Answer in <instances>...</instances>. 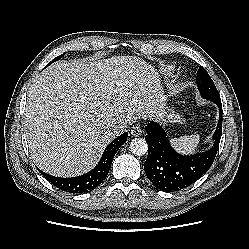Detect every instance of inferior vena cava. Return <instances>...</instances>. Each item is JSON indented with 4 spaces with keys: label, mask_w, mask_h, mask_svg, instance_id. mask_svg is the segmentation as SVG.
I'll use <instances>...</instances> for the list:
<instances>
[{
    "label": "inferior vena cava",
    "mask_w": 249,
    "mask_h": 249,
    "mask_svg": "<svg viewBox=\"0 0 249 249\" xmlns=\"http://www.w3.org/2000/svg\"><path fill=\"white\" fill-rule=\"evenodd\" d=\"M127 128V123H121V124H116L113 126L112 128V135L113 136H118L120 135L121 133H123Z\"/></svg>",
    "instance_id": "602c4592"
}]
</instances>
